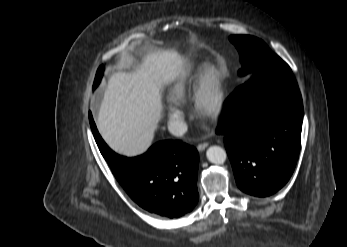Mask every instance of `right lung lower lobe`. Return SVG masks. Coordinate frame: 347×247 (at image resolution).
I'll use <instances>...</instances> for the list:
<instances>
[{"instance_id":"obj_1","label":"right lung lower lobe","mask_w":347,"mask_h":247,"mask_svg":"<svg viewBox=\"0 0 347 247\" xmlns=\"http://www.w3.org/2000/svg\"><path fill=\"white\" fill-rule=\"evenodd\" d=\"M99 68L95 82L100 79ZM89 121L97 146L126 193L147 211L168 218L190 212L198 202L199 155L182 141L156 143L143 155L127 158L113 152Z\"/></svg>"}]
</instances>
